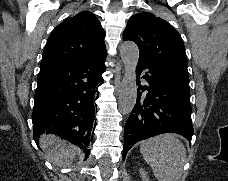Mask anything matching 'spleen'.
<instances>
[{"label": "spleen", "instance_id": "1", "mask_svg": "<svg viewBox=\"0 0 228 181\" xmlns=\"http://www.w3.org/2000/svg\"><path fill=\"white\" fill-rule=\"evenodd\" d=\"M140 153L157 181H176L186 163V149L174 135H159L141 141Z\"/></svg>", "mask_w": 228, "mask_h": 181}]
</instances>
